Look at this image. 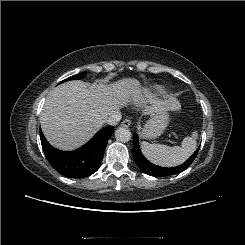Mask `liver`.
I'll return each instance as SVG.
<instances>
[{"instance_id": "6515ba94", "label": "liver", "mask_w": 245, "mask_h": 245, "mask_svg": "<svg viewBox=\"0 0 245 245\" xmlns=\"http://www.w3.org/2000/svg\"><path fill=\"white\" fill-rule=\"evenodd\" d=\"M147 101L146 115L180 108L174 98H152L137 79L124 78L109 85L66 82L49 93L40 116L41 128L52 146L74 150L88 142L120 108L129 102L144 105Z\"/></svg>"}]
</instances>
